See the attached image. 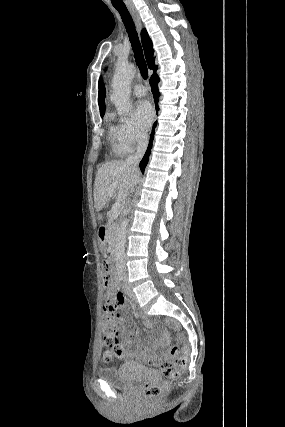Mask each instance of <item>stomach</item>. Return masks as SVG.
Segmentation results:
<instances>
[{"label":"stomach","mask_w":285,"mask_h":427,"mask_svg":"<svg viewBox=\"0 0 285 427\" xmlns=\"http://www.w3.org/2000/svg\"><path fill=\"white\" fill-rule=\"evenodd\" d=\"M105 247H106L105 242H101V243H100V248H101L102 250H104V249H105Z\"/></svg>","instance_id":"obj_1"}]
</instances>
